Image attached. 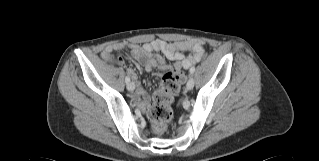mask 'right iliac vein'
Returning <instances> with one entry per match:
<instances>
[{
    "mask_svg": "<svg viewBox=\"0 0 319 161\" xmlns=\"http://www.w3.org/2000/svg\"><path fill=\"white\" fill-rule=\"evenodd\" d=\"M134 88H135V85H134L133 82H129V83L127 84V89H128L129 91H133Z\"/></svg>",
    "mask_w": 319,
    "mask_h": 161,
    "instance_id": "1",
    "label": "right iliac vein"
}]
</instances>
